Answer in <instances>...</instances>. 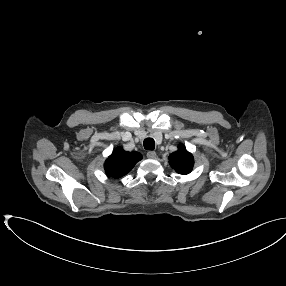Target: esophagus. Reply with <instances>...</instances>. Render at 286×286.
Listing matches in <instances>:
<instances>
[{
    "instance_id": "1",
    "label": "esophagus",
    "mask_w": 286,
    "mask_h": 286,
    "mask_svg": "<svg viewBox=\"0 0 286 286\" xmlns=\"http://www.w3.org/2000/svg\"><path fill=\"white\" fill-rule=\"evenodd\" d=\"M156 156H157V154H156L155 151H148V152H147V157H148L149 159H154V158H156Z\"/></svg>"
}]
</instances>
